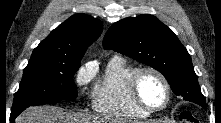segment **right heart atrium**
Listing matches in <instances>:
<instances>
[{"label": "right heart atrium", "mask_w": 221, "mask_h": 123, "mask_svg": "<svg viewBox=\"0 0 221 123\" xmlns=\"http://www.w3.org/2000/svg\"><path fill=\"white\" fill-rule=\"evenodd\" d=\"M93 72L90 68L81 67L76 73V82L80 85H84L90 81Z\"/></svg>", "instance_id": "1"}]
</instances>
